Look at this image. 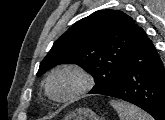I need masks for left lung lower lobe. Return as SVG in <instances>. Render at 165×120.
Here are the masks:
<instances>
[{
	"label": "left lung lower lobe",
	"instance_id": "left-lung-lower-lobe-1",
	"mask_svg": "<svg viewBox=\"0 0 165 120\" xmlns=\"http://www.w3.org/2000/svg\"><path fill=\"white\" fill-rule=\"evenodd\" d=\"M107 96L130 102L165 120V68L146 34L129 54L120 85Z\"/></svg>",
	"mask_w": 165,
	"mask_h": 120
}]
</instances>
